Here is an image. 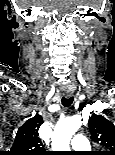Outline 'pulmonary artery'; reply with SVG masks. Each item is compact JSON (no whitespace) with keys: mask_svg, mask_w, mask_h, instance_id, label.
<instances>
[{"mask_svg":"<svg viewBox=\"0 0 115 155\" xmlns=\"http://www.w3.org/2000/svg\"><path fill=\"white\" fill-rule=\"evenodd\" d=\"M71 146L76 151H85L90 148L88 139L82 134H76L71 141Z\"/></svg>","mask_w":115,"mask_h":155,"instance_id":"1","label":"pulmonary artery"}]
</instances>
